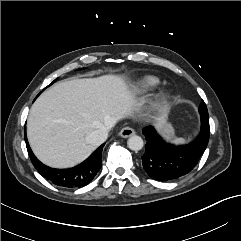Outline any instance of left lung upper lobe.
<instances>
[{"mask_svg": "<svg viewBox=\"0 0 241 241\" xmlns=\"http://www.w3.org/2000/svg\"><path fill=\"white\" fill-rule=\"evenodd\" d=\"M199 113H200V116H201V122L204 121V120L209 122L207 107H206L203 100H202V102L199 106Z\"/></svg>", "mask_w": 241, "mask_h": 241, "instance_id": "5c2ea615", "label": "left lung upper lobe"}]
</instances>
